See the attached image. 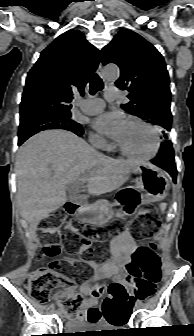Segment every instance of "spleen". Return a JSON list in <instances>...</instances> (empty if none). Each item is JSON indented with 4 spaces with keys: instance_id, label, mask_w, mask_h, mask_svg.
Here are the masks:
<instances>
[{
    "instance_id": "1",
    "label": "spleen",
    "mask_w": 194,
    "mask_h": 336,
    "mask_svg": "<svg viewBox=\"0 0 194 336\" xmlns=\"http://www.w3.org/2000/svg\"><path fill=\"white\" fill-rule=\"evenodd\" d=\"M166 206H167V204H166V203H162V204L160 205V208H161V211H162V212H164V211H165V209H166Z\"/></svg>"
}]
</instances>
